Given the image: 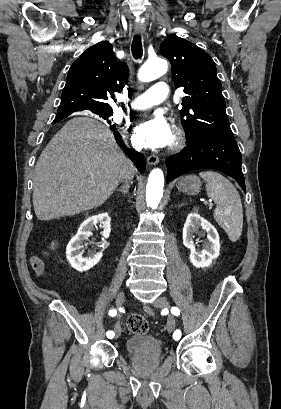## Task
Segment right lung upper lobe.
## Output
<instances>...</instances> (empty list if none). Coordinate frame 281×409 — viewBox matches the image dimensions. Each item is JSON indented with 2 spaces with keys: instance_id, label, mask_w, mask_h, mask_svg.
<instances>
[{
  "instance_id": "right-lung-upper-lobe-1",
  "label": "right lung upper lobe",
  "mask_w": 281,
  "mask_h": 409,
  "mask_svg": "<svg viewBox=\"0 0 281 409\" xmlns=\"http://www.w3.org/2000/svg\"><path fill=\"white\" fill-rule=\"evenodd\" d=\"M128 67L115 58L108 41L88 48L70 67L57 113L112 111L110 95L121 92Z\"/></svg>"
}]
</instances>
